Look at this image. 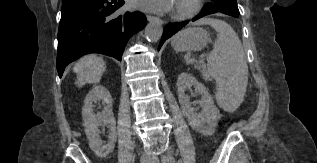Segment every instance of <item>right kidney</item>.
Listing matches in <instances>:
<instances>
[{
  "label": "right kidney",
  "mask_w": 317,
  "mask_h": 163,
  "mask_svg": "<svg viewBox=\"0 0 317 163\" xmlns=\"http://www.w3.org/2000/svg\"><path fill=\"white\" fill-rule=\"evenodd\" d=\"M102 100L104 110L101 113H93V102ZM112 97L109 91L101 85L94 86L84 100L82 117L84 128L89 140L91 150L100 158L107 157L115 147L116 142V121L111 109ZM107 125L109 127V141L103 145L100 139L99 127Z\"/></svg>",
  "instance_id": "1"
}]
</instances>
